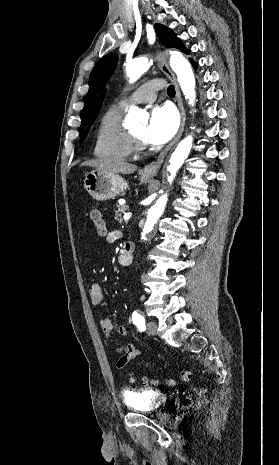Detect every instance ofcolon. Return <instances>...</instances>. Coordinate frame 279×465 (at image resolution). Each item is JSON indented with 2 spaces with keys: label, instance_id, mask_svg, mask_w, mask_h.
I'll return each instance as SVG.
<instances>
[{
  "label": "colon",
  "instance_id": "5ec220e1",
  "mask_svg": "<svg viewBox=\"0 0 279 465\" xmlns=\"http://www.w3.org/2000/svg\"><path fill=\"white\" fill-rule=\"evenodd\" d=\"M90 219H91V222L93 224V226L97 229L98 233L99 234H104L105 231H106V225H105V220L103 218V215L102 213L98 210V209H92L90 211ZM181 378L182 380L184 381H188L190 379V372L184 370L181 372ZM143 384L144 385H148V384H158L159 381L158 380H155V379H148V378H144L142 380ZM165 385L167 386H174L175 385V381L173 379H166L164 382H163ZM192 403L191 399L190 398H186L183 402V406L184 407H188L190 406Z\"/></svg>",
  "mask_w": 279,
  "mask_h": 465
}]
</instances>
